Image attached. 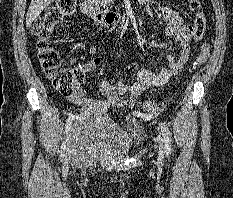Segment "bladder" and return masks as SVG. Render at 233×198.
Returning <instances> with one entry per match:
<instances>
[{
	"instance_id": "31cf9c89",
	"label": "bladder",
	"mask_w": 233,
	"mask_h": 198,
	"mask_svg": "<svg viewBox=\"0 0 233 198\" xmlns=\"http://www.w3.org/2000/svg\"><path fill=\"white\" fill-rule=\"evenodd\" d=\"M144 130L136 122L120 124L98 111H84L75 116L71 139L76 148L111 156L133 151L143 140Z\"/></svg>"
}]
</instances>
